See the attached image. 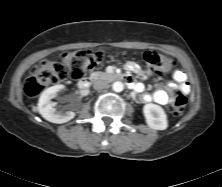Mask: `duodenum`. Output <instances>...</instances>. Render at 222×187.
I'll return each mask as SVG.
<instances>
[{
  "mask_svg": "<svg viewBox=\"0 0 222 187\" xmlns=\"http://www.w3.org/2000/svg\"><path fill=\"white\" fill-rule=\"evenodd\" d=\"M109 77L115 80H120L130 86L134 84V80L130 75H121V74L112 73L109 75ZM89 87H90V80L88 79H83L79 83V90L82 92H86L89 89Z\"/></svg>",
  "mask_w": 222,
  "mask_h": 187,
  "instance_id": "duodenum-1",
  "label": "duodenum"
}]
</instances>
